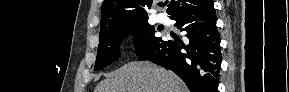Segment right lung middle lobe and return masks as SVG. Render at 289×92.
Returning a JSON list of instances; mask_svg holds the SVG:
<instances>
[{
	"mask_svg": "<svg viewBox=\"0 0 289 92\" xmlns=\"http://www.w3.org/2000/svg\"><path fill=\"white\" fill-rule=\"evenodd\" d=\"M157 30L151 27L148 19L127 21L113 24L100 31L95 70L105 68L120 57L119 43L128 35H134L137 55L150 48L160 37L155 36Z\"/></svg>",
	"mask_w": 289,
	"mask_h": 92,
	"instance_id": "obj_1",
	"label": "right lung middle lobe"
}]
</instances>
